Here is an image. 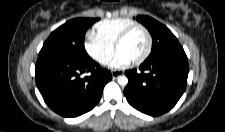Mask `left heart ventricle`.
<instances>
[{"mask_svg":"<svg viewBox=\"0 0 225 132\" xmlns=\"http://www.w3.org/2000/svg\"><path fill=\"white\" fill-rule=\"evenodd\" d=\"M147 48V37L141 30H136L119 46L117 52L123 53L130 61L143 55Z\"/></svg>","mask_w":225,"mask_h":132,"instance_id":"obj_1","label":"left heart ventricle"}]
</instances>
